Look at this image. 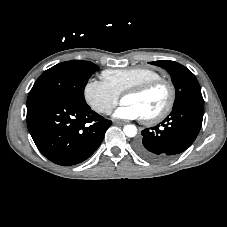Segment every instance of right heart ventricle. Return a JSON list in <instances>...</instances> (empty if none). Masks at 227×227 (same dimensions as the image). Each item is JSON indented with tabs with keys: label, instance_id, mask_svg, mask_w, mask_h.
<instances>
[{
	"label": "right heart ventricle",
	"instance_id": "e07e8e85",
	"mask_svg": "<svg viewBox=\"0 0 227 227\" xmlns=\"http://www.w3.org/2000/svg\"><path fill=\"white\" fill-rule=\"evenodd\" d=\"M103 81L118 95L126 90L161 78V74L147 67H131L126 69L105 70L102 72Z\"/></svg>",
	"mask_w": 227,
	"mask_h": 227
}]
</instances>
